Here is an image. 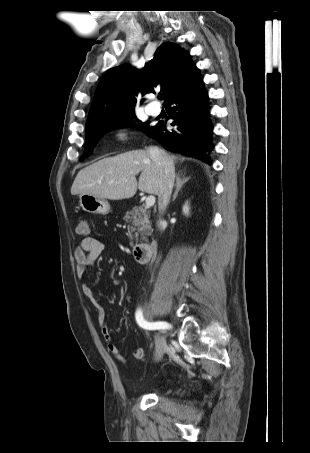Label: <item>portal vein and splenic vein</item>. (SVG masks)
<instances>
[{
  "mask_svg": "<svg viewBox=\"0 0 310 453\" xmlns=\"http://www.w3.org/2000/svg\"><path fill=\"white\" fill-rule=\"evenodd\" d=\"M145 204H146V207L147 208H150L152 206H154L155 204V197L150 195L146 198V201H145Z\"/></svg>",
  "mask_w": 310,
  "mask_h": 453,
  "instance_id": "portal-vein-and-splenic-vein-1",
  "label": "portal vein and splenic vein"
}]
</instances>
